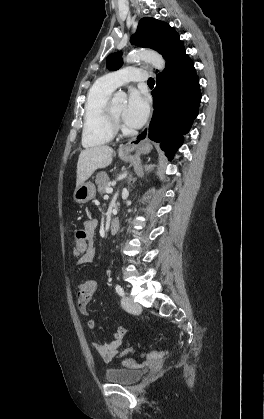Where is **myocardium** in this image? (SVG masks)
Instances as JSON below:
<instances>
[{
    "mask_svg": "<svg viewBox=\"0 0 264 419\" xmlns=\"http://www.w3.org/2000/svg\"><path fill=\"white\" fill-rule=\"evenodd\" d=\"M107 111H108V115L110 117V120L112 122L113 128H114L115 131H117L121 127V124H122L121 116L117 115L113 111L112 106L109 105V104H108V107H107Z\"/></svg>",
    "mask_w": 264,
    "mask_h": 419,
    "instance_id": "myocardium-1",
    "label": "myocardium"
}]
</instances>
